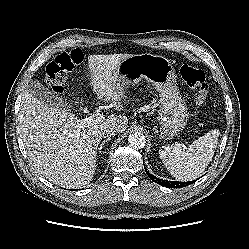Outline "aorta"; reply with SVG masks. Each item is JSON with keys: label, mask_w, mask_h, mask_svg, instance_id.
<instances>
[{"label": "aorta", "mask_w": 249, "mask_h": 249, "mask_svg": "<svg viewBox=\"0 0 249 249\" xmlns=\"http://www.w3.org/2000/svg\"><path fill=\"white\" fill-rule=\"evenodd\" d=\"M128 143L132 148L140 149L145 146L146 138L144 134L135 131L128 136Z\"/></svg>", "instance_id": "obj_1"}]
</instances>
